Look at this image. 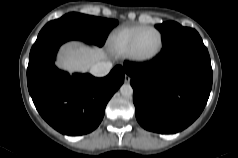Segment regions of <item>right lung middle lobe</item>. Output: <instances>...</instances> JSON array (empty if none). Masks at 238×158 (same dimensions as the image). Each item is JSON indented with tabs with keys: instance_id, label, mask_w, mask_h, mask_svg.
Returning a JSON list of instances; mask_svg holds the SVG:
<instances>
[{
	"instance_id": "obj_1",
	"label": "right lung middle lobe",
	"mask_w": 238,
	"mask_h": 158,
	"mask_svg": "<svg viewBox=\"0 0 238 158\" xmlns=\"http://www.w3.org/2000/svg\"><path fill=\"white\" fill-rule=\"evenodd\" d=\"M117 20L84 15L80 13H68L61 18L48 22L39 35L51 30L72 31L91 43L102 46L109 31L117 25Z\"/></svg>"
}]
</instances>
